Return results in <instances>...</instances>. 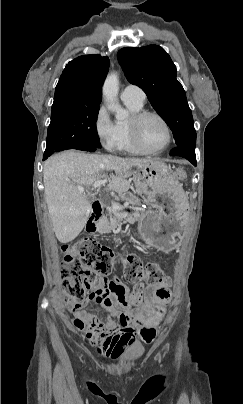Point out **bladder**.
Returning <instances> with one entry per match:
<instances>
[{"mask_svg":"<svg viewBox=\"0 0 243 404\" xmlns=\"http://www.w3.org/2000/svg\"><path fill=\"white\" fill-rule=\"evenodd\" d=\"M145 352V348L141 343H133L124 351L121 361L134 362L141 358Z\"/></svg>","mask_w":243,"mask_h":404,"instance_id":"bladder-1","label":"bladder"}]
</instances>
